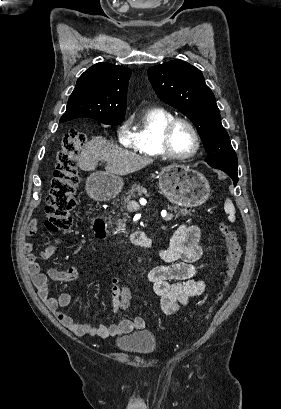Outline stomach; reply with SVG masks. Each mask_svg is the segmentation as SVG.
Segmentation results:
<instances>
[{"label": "stomach", "mask_w": 281, "mask_h": 409, "mask_svg": "<svg viewBox=\"0 0 281 409\" xmlns=\"http://www.w3.org/2000/svg\"><path fill=\"white\" fill-rule=\"evenodd\" d=\"M123 186L112 172H93L86 180V192L94 200H111ZM158 186L164 196L179 207H199L210 196V184L202 172L185 164H168L159 172Z\"/></svg>", "instance_id": "obj_1"}]
</instances>
